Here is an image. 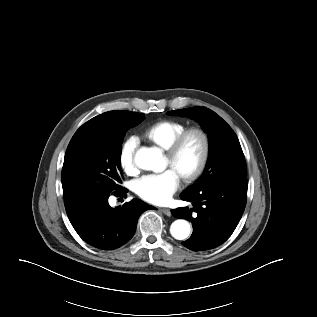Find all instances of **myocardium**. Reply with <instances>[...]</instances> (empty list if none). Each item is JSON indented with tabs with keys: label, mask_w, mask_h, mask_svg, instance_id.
<instances>
[{
	"label": "myocardium",
	"mask_w": 317,
	"mask_h": 317,
	"mask_svg": "<svg viewBox=\"0 0 317 317\" xmlns=\"http://www.w3.org/2000/svg\"><path fill=\"white\" fill-rule=\"evenodd\" d=\"M191 136H197L201 142L200 157L194 168L181 174L185 181L196 180L204 171L210 155V138L208 133L200 127H191L183 131L166 150L168 158L174 163L180 155L184 145Z\"/></svg>",
	"instance_id": "myocardium-1"
}]
</instances>
